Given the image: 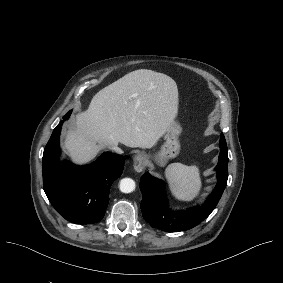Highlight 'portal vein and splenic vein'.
Instances as JSON below:
<instances>
[{"mask_svg": "<svg viewBox=\"0 0 283 283\" xmlns=\"http://www.w3.org/2000/svg\"><path fill=\"white\" fill-rule=\"evenodd\" d=\"M136 96H137L136 94H132V95L129 96V98L131 99V98H134Z\"/></svg>", "mask_w": 283, "mask_h": 283, "instance_id": "1", "label": "portal vein and splenic vein"}]
</instances>
